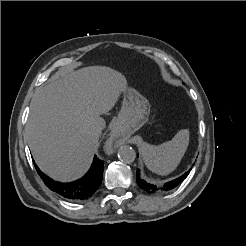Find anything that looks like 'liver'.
Masks as SVG:
<instances>
[{
    "mask_svg": "<svg viewBox=\"0 0 246 246\" xmlns=\"http://www.w3.org/2000/svg\"><path fill=\"white\" fill-rule=\"evenodd\" d=\"M127 90L119 72L91 66L63 73L35 93L26 125L28 144L40 169L60 181L81 177L89 168L99 137L92 133Z\"/></svg>",
    "mask_w": 246,
    "mask_h": 246,
    "instance_id": "obj_1",
    "label": "liver"
}]
</instances>
